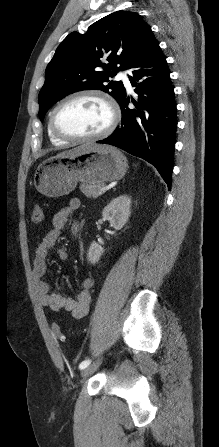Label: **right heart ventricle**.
<instances>
[{
	"instance_id": "1",
	"label": "right heart ventricle",
	"mask_w": 219,
	"mask_h": 447,
	"mask_svg": "<svg viewBox=\"0 0 219 447\" xmlns=\"http://www.w3.org/2000/svg\"><path fill=\"white\" fill-rule=\"evenodd\" d=\"M47 133H48V137L50 139V141L55 144V145H62L65 141L58 138L57 136H55L53 134V132L51 131L50 125H49V121L47 123Z\"/></svg>"
}]
</instances>
